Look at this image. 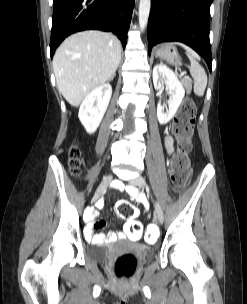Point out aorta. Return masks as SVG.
<instances>
[{
	"instance_id": "1",
	"label": "aorta",
	"mask_w": 247,
	"mask_h": 304,
	"mask_svg": "<svg viewBox=\"0 0 247 304\" xmlns=\"http://www.w3.org/2000/svg\"><path fill=\"white\" fill-rule=\"evenodd\" d=\"M151 7V0H140L139 4V26L143 31L147 25Z\"/></svg>"
}]
</instances>
